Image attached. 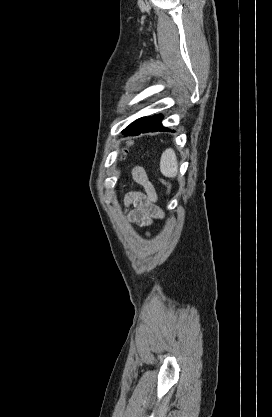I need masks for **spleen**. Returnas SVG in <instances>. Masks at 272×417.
<instances>
[{
  "mask_svg": "<svg viewBox=\"0 0 272 417\" xmlns=\"http://www.w3.org/2000/svg\"><path fill=\"white\" fill-rule=\"evenodd\" d=\"M160 171L165 177L174 178L178 172L177 157L173 149H166L160 159Z\"/></svg>",
  "mask_w": 272,
  "mask_h": 417,
  "instance_id": "spleen-1",
  "label": "spleen"
}]
</instances>
